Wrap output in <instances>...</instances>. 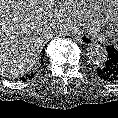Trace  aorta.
I'll use <instances>...</instances> for the list:
<instances>
[{"mask_svg":"<svg viewBox=\"0 0 118 118\" xmlns=\"http://www.w3.org/2000/svg\"><path fill=\"white\" fill-rule=\"evenodd\" d=\"M88 57L92 63L100 65L106 60L107 51L99 44H92L88 48Z\"/></svg>","mask_w":118,"mask_h":118,"instance_id":"762f6f07","label":"aorta"}]
</instances>
